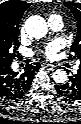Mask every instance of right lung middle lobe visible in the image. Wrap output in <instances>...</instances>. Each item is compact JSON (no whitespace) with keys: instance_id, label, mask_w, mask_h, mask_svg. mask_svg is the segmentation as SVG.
<instances>
[{"instance_id":"right-lung-middle-lobe-1","label":"right lung middle lobe","mask_w":81,"mask_h":124,"mask_svg":"<svg viewBox=\"0 0 81 124\" xmlns=\"http://www.w3.org/2000/svg\"><path fill=\"white\" fill-rule=\"evenodd\" d=\"M18 46V38L9 37L3 39L0 42V63L11 62L15 57V53Z\"/></svg>"}]
</instances>
